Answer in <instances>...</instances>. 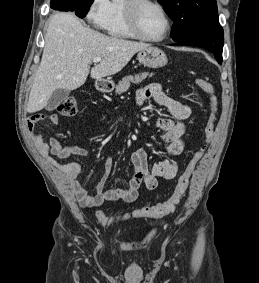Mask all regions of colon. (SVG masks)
<instances>
[{
  "mask_svg": "<svg viewBox=\"0 0 259 283\" xmlns=\"http://www.w3.org/2000/svg\"><path fill=\"white\" fill-rule=\"evenodd\" d=\"M195 83L201 90H203L210 96V103H211V115L208 120V123L206 124L204 128L201 145L190 157L185 170L180 175L178 182L171 196L167 200H165L164 202L158 203L156 205L147 206V207L138 209L134 211L132 214L123 216V218L125 219L130 218V217L156 218L163 214L173 212L178 206V204L181 202V200L184 198L187 192L188 185L191 180L192 174L196 168V165L201 159L205 150L207 149L212 139V136L214 134L215 114H216L217 106H218L216 90L213 84L204 78H196ZM57 112L59 115L64 116V117L74 116L78 112V102H77L76 97L69 96L65 98L58 106ZM99 218L105 224H110L114 221L113 217H108L102 213L99 215Z\"/></svg>",
  "mask_w": 259,
  "mask_h": 283,
  "instance_id": "1",
  "label": "colon"
}]
</instances>
